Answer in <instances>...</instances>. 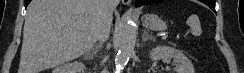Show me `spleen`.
Wrapping results in <instances>:
<instances>
[{
  "instance_id": "1",
  "label": "spleen",
  "mask_w": 244,
  "mask_h": 73,
  "mask_svg": "<svg viewBox=\"0 0 244 73\" xmlns=\"http://www.w3.org/2000/svg\"><path fill=\"white\" fill-rule=\"evenodd\" d=\"M187 24L190 27L193 36L198 37L202 34L201 23L197 15L192 14L187 19Z\"/></svg>"
}]
</instances>
